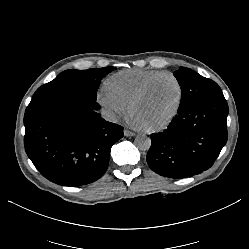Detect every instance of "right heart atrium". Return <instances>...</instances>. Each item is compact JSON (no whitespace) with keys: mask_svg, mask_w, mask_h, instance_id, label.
<instances>
[{"mask_svg":"<svg viewBox=\"0 0 249 249\" xmlns=\"http://www.w3.org/2000/svg\"><path fill=\"white\" fill-rule=\"evenodd\" d=\"M97 102L101 106L107 119L117 120L128 110V104L110 94L106 89H102L97 94Z\"/></svg>","mask_w":249,"mask_h":249,"instance_id":"right-heart-atrium-1","label":"right heart atrium"}]
</instances>
